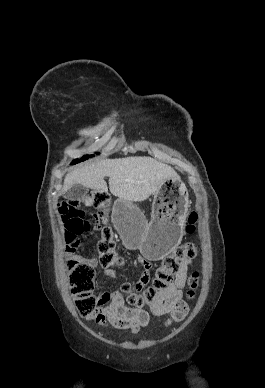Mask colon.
I'll use <instances>...</instances> for the list:
<instances>
[{
  "label": "colon",
  "mask_w": 265,
  "mask_h": 388,
  "mask_svg": "<svg viewBox=\"0 0 265 388\" xmlns=\"http://www.w3.org/2000/svg\"><path fill=\"white\" fill-rule=\"evenodd\" d=\"M87 200L97 210V214L94 215L96 221L102 223L100 227L101 239L98 243L100 263L106 268L122 265L123 258L117 252L115 246V232L105 222L110 206L109 195L104 191H93L89 194ZM79 205L78 201H62L57 206L65 226L67 251L70 255L67 269L71 292L79 314L90 321L101 323L104 316L99 309V298L94 292L96 284L94 266L78 255L82 236L93 227L89 221L84 219V212ZM196 221L197 214L193 212L188 219L187 233L192 234L194 232ZM197 253V248L192 243L178 246L161 261L150 286L143 292H139L131 284L125 283L120 289L122 295L126 298L128 304L134 308L153 304L158 293L166 290L171 284L181 262L193 259L197 256ZM198 279L199 274L197 272L192 273L189 278V290L187 292L189 299H192L195 295Z\"/></svg>",
  "instance_id": "obj_1"
}]
</instances>
